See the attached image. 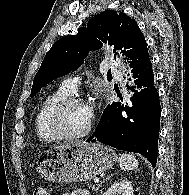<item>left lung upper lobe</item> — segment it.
<instances>
[{"instance_id":"left-lung-upper-lobe-1","label":"left lung upper lobe","mask_w":189,"mask_h":195,"mask_svg":"<svg viewBox=\"0 0 189 195\" xmlns=\"http://www.w3.org/2000/svg\"><path fill=\"white\" fill-rule=\"evenodd\" d=\"M104 43L112 46L114 52L119 50L130 69L149 58L145 37L136 21L123 12L104 11L76 35L65 36L54 43L35 75L31 97L52 80L77 69L89 51L100 49Z\"/></svg>"}]
</instances>
